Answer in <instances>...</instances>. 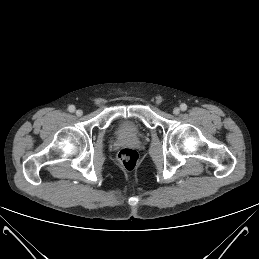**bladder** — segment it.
Instances as JSON below:
<instances>
[{"mask_svg":"<svg viewBox=\"0 0 259 259\" xmlns=\"http://www.w3.org/2000/svg\"><path fill=\"white\" fill-rule=\"evenodd\" d=\"M116 133L121 136H136L139 133V129L128 120H119Z\"/></svg>","mask_w":259,"mask_h":259,"instance_id":"bladder-1","label":"bladder"}]
</instances>
